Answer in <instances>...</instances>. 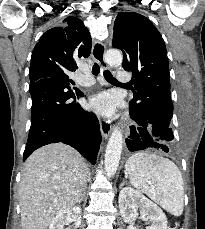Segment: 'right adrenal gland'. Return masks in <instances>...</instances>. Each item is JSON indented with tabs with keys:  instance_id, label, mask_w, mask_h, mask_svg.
I'll return each instance as SVG.
<instances>
[{
	"instance_id": "right-adrenal-gland-1",
	"label": "right adrenal gland",
	"mask_w": 205,
	"mask_h": 229,
	"mask_svg": "<svg viewBox=\"0 0 205 229\" xmlns=\"http://www.w3.org/2000/svg\"><path fill=\"white\" fill-rule=\"evenodd\" d=\"M84 197H85V188L83 189V192H82V194L80 196L79 203L84 199Z\"/></svg>"
}]
</instances>
